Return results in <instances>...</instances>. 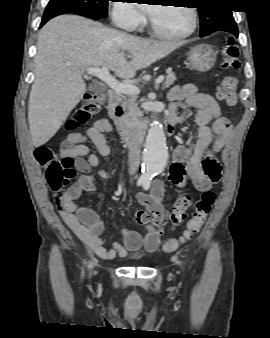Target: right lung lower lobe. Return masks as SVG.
Returning a JSON list of instances; mask_svg holds the SVG:
<instances>
[{"mask_svg": "<svg viewBox=\"0 0 270 338\" xmlns=\"http://www.w3.org/2000/svg\"><path fill=\"white\" fill-rule=\"evenodd\" d=\"M61 14H65V12L57 11V12H46V13H44L40 27H42L51 18H54V17L61 15ZM77 14H80V15H83V16H86V17H89V18H93V19H96V20L102 18L100 16H97V15H94V14H91V13H85V12H80V13H77Z\"/></svg>", "mask_w": 270, "mask_h": 338, "instance_id": "obj_1", "label": "right lung lower lobe"}]
</instances>
